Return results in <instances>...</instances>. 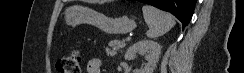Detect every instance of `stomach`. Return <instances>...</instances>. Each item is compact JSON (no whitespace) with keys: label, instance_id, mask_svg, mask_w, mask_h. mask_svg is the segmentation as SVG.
Segmentation results:
<instances>
[{"label":"stomach","instance_id":"0dacf381","mask_svg":"<svg viewBox=\"0 0 244 73\" xmlns=\"http://www.w3.org/2000/svg\"><path fill=\"white\" fill-rule=\"evenodd\" d=\"M64 15L67 25L74 27L78 24L87 23L110 35L126 34L136 28V22L126 15L110 17L81 5L68 7Z\"/></svg>","mask_w":244,"mask_h":73}]
</instances>
